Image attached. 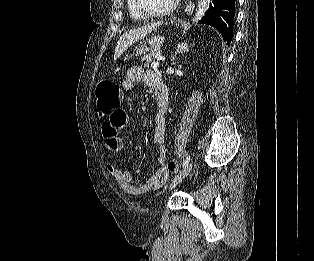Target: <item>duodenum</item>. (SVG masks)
Wrapping results in <instances>:
<instances>
[{
  "label": "duodenum",
  "mask_w": 314,
  "mask_h": 261,
  "mask_svg": "<svg viewBox=\"0 0 314 261\" xmlns=\"http://www.w3.org/2000/svg\"><path fill=\"white\" fill-rule=\"evenodd\" d=\"M156 100L161 108H166L168 106L169 95L166 87L163 85L162 81L157 85L155 90Z\"/></svg>",
  "instance_id": "obj_1"
}]
</instances>
